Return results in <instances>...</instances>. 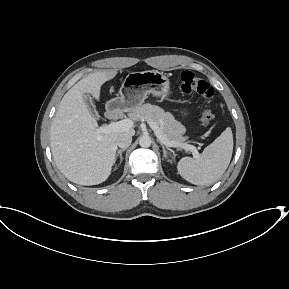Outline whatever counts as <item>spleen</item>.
<instances>
[{
    "instance_id": "3e777b00",
    "label": "spleen",
    "mask_w": 289,
    "mask_h": 289,
    "mask_svg": "<svg viewBox=\"0 0 289 289\" xmlns=\"http://www.w3.org/2000/svg\"><path fill=\"white\" fill-rule=\"evenodd\" d=\"M233 152V134L227 127L197 158L183 157L177 165L179 174L195 185L217 181L226 171Z\"/></svg>"
}]
</instances>
